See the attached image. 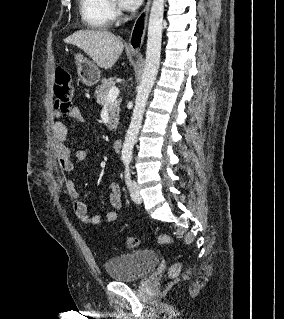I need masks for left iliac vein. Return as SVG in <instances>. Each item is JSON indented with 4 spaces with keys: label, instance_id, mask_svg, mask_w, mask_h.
I'll use <instances>...</instances> for the list:
<instances>
[{
    "label": "left iliac vein",
    "instance_id": "4c4485c4",
    "mask_svg": "<svg viewBox=\"0 0 284 319\" xmlns=\"http://www.w3.org/2000/svg\"><path fill=\"white\" fill-rule=\"evenodd\" d=\"M130 195L132 200L136 203V204H141L142 203V196L139 192V187L138 184L135 181L131 182L130 185Z\"/></svg>",
    "mask_w": 284,
    "mask_h": 319
}]
</instances>
